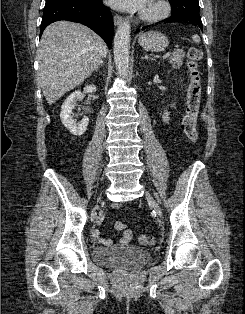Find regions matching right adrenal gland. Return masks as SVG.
Segmentation results:
<instances>
[{"label":"right adrenal gland","mask_w":245,"mask_h":314,"mask_svg":"<svg viewBox=\"0 0 245 314\" xmlns=\"http://www.w3.org/2000/svg\"><path fill=\"white\" fill-rule=\"evenodd\" d=\"M102 65V62H100L98 65H97V67L95 68V71L97 72L98 71V69H99V67Z\"/></svg>","instance_id":"1"}]
</instances>
